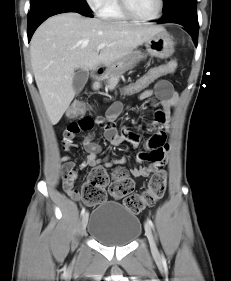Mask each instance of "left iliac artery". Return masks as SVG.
Instances as JSON below:
<instances>
[{"label":"left iliac artery","instance_id":"left-iliac-artery-1","mask_svg":"<svg viewBox=\"0 0 231 281\" xmlns=\"http://www.w3.org/2000/svg\"><path fill=\"white\" fill-rule=\"evenodd\" d=\"M147 222L152 228H154L153 222L150 218L147 219Z\"/></svg>","mask_w":231,"mask_h":281}]
</instances>
